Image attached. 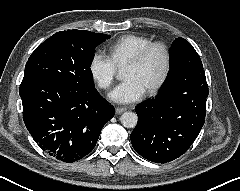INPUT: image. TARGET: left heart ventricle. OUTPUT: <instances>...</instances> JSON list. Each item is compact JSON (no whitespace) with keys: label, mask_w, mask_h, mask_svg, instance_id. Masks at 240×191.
Returning <instances> with one entry per match:
<instances>
[{"label":"left heart ventricle","mask_w":240,"mask_h":191,"mask_svg":"<svg viewBox=\"0 0 240 191\" xmlns=\"http://www.w3.org/2000/svg\"><path fill=\"white\" fill-rule=\"evenodd\" d=\"M164 68V53L162 49H153L139 65H125L123 76L125 79L133 77L148 90L162 75Z\"/></svg>","instance_id":"left-heart-ventricle-1"}]
</instances>
